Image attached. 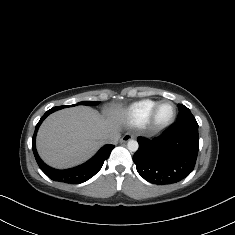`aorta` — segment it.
<instances>
[{
  "label": "aorta",
  "mask_w": 235,
  "mask_h": 235,
  "mask_svg": "<svg viewBox=\"0 0 235 235\" xmlns=\"http://www.w3.org/2000/svg\"><path fill=\"white\" fill-rule=\"evenodd\" d=\"M127 148L130 152H136L139 148V144L136 140H129L127 143Z\"/></svg>",
  "instance_id": "762f6f07"
}]
</instances>
